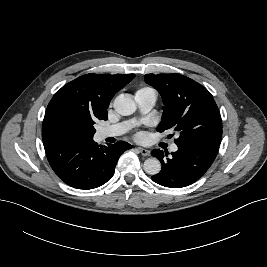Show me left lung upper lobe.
<instances>
[{"mask_svg":"<svg viewBox=\"0 0 267 267\" xmlns=\"http://www.w3.org/2000/svg\"><path fill=\"white\" fill-rule=\"evenodd\" d=\"M145 82L163 98L164 113L157 130H175V143L193 146L204 143L220 145L222 121L211 93L181 74H146Z\"/></svg>","mask_w":267,"mask_h":267,"instance_id":"5c2ea615","label":"left lung upper lobe"}]
</instances>
